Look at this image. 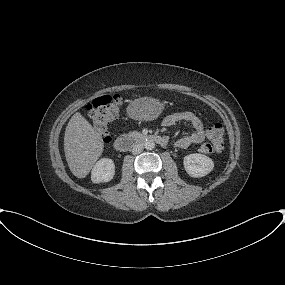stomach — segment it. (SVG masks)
Returning a JSON list of instances; mask_svg holds the SVG:
<instances>
[{
    "label": "stomach",
    "instance_id": "1",
    "mask_svg": "<svg viewBox=\"0 0 285 285\" xmlns=\"http://www.w3.org/2000/svg\"><path fill=\"white\" fill-rule=\"evenodd\" d=\"M164 103L153 97H142L132 101L127 112L130 117L138 120L156 119L163 111Z\"/></svg>",
    "mask_w": 285,
    "mask_h": 285
}]
</instances>
